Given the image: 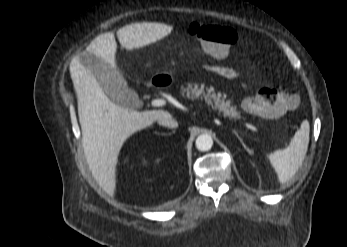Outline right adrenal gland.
<instances>
[{
  "label": "right adrenal gland",
  "mask_w": 347,
  "mask_h": 247,
  "mask_svg": "<svg viewBox=\"0 0 347 247\" xmlns=\"http://www.w3.org/2000/svg\"><path fill=\"white\" fill-rule=\"evenodd\" d=\"M161 135H170V133H168V134L162 133Z\"/></svg>",
  "instance_id": "2a0ac1e0"
}]
</instances>
